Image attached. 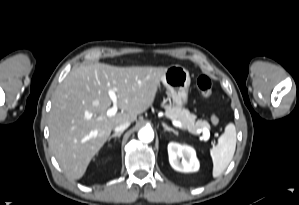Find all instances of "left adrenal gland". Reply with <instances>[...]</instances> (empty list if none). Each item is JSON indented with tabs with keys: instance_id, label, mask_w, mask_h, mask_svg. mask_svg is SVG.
<instances>
[{
	"instance_id": "1",
	"label": "left adrenal gland",
	"mask_w": 299,
	"mask_h": 205,
	"mask_svg": "<svg viewBox=\"0 0 299 205\" xmlns=\"http://www.w3.org/2000/svg\"><path fill=\"white\" fill-rule=\"evenodd\" d=\"M162 126L164 127V130H165V131H171V132H173L174 134L177 135V132H176L173 128L168 127L167 124L162 123Z\"/></svg>"
}]
</instances>
